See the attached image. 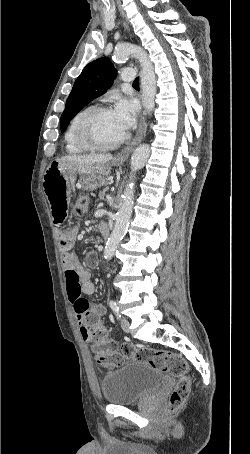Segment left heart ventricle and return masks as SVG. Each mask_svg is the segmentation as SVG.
I'll use <instances>...</instances> for the list:
<instances>
[{
	"instance_id": "obj_1",
	"label": "left heart ventricle",
	"mask_w": 250,
	"mask_h": 454,
	"mask_svg": "<svg viewBox=\"0 0 250 454\" xmlns=\"http://www.w3.org/2000/svg\"><path fill=\"white\" fill-rule=\"evenodd\" d=\"M125 134L126 132L119 126L112 110L97 115L88 127L89 137L100 144L112 143Z\"/></svg>"
}]
</instances>
